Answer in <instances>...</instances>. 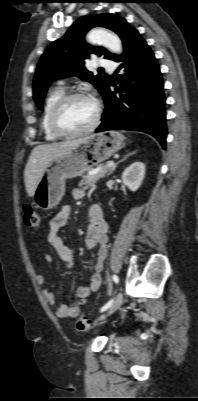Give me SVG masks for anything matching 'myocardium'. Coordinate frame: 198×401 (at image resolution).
Listing matches in <instances>:
<instances>
[{"label": "myocardium", "instance_id": "myocardium-1", "mask_svg": "<svg viewBox=\"0 0 198 401\" xmlns=\"http://www.w3.org/2000/svg\"><path fill=\"white\" fill-rule=\"evenodd\" d=\"M89 99L92 100L96 106V113H95V118L91 125L83 130L79 131H68L64 129L61 124H60V115L64 107L72 100L75 99ZM101 115H102V108L100 103L91 95L85 93V92H73V93H68L64 94L61 96L53 105L50 116H49V124L51 130L59 137L63 138H75L79 136L86 135L88 133H91L94 131L98 125L100 124L101 120Z\"/></svg>", "mask_w": 198, "mask_h": 401}]
</instances>
